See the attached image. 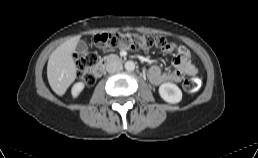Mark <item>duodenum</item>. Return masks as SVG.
<instances>
[{
	"label": "duodenum",
	"instance_id": "duodenum-1",
	"mask_svg": "<svg viewBox=\"0 0 258 158\" xmlns=\"http://www.w3.org/2000/svg\"><path fill=\"white\" fill-rule=\"evenodd\" d=\"M122 60H123L122 56L107 57L106 59L102 60L101 62H99L92 68L91 74L94 78H98L104 73V71L108 65L119 63Z\"/></svg>",
	"mask_w": 258,
	"mask_h": 158
}]
</instances>
